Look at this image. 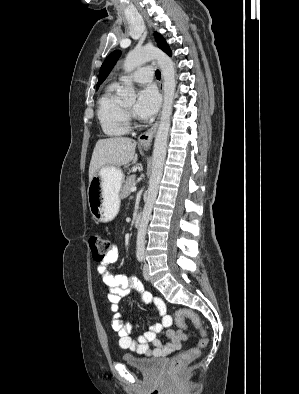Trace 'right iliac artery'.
Returning a JSON list of instances; mask_svg holds the SVG:
<instances>
[{
  "label": "right iliac artery",
  "instance_id": "right-iliac-artery-1",
  "mask_svg": "<svg viewBox=\"0 0 299 394\" xmlns=\"http://www.w3.org/2000/svg\"><path fill=\"white\" fill-rule=\"evenodd\" d=\"M138 260L141 262L143 260V257H139Z\"/></svg>",
  "mask_w": 299,
  "mask_h": 394
}]
</instances>
